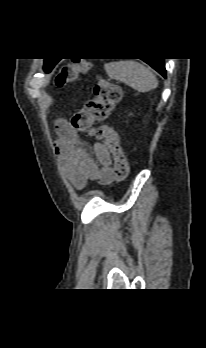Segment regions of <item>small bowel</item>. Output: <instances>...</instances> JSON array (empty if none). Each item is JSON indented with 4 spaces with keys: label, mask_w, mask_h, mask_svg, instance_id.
I'll return each mask as SVG.
<instances>
[{
    "label": "small bowel",
    "mask_w": 206,
    "mask_h": 348,
    "mask_svg": "<svg viewBox=\"0 0 206 348\" xmlns=\"http://www.w3.org/2000/svg\"><path fill=\"white\" fill-rule=\"evenodd\" d=\"M57 141L56 151L64 175L77 188L85 187L88 180H96L101 184L114 181L112 160L108 148L101 142L92 146L94 159L90 157L76 131L66 120L55 123Z\"/></svg>",
    "instance_id": "small-bowel-1"
}]
</instances>
